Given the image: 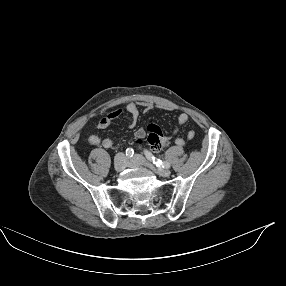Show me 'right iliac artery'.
Segmentation results:
<instances>
[{
	"label": "right iliac artery",
	"mask_w": 286,
	"mask_h": 286,
	"mask_svg": "<svg viewBox=\"0 0 286 286\" xmlns=\"http://www.w3.org/2000/svg\"><path fill=\"white\" fill-rule=\"evenodd\" d=\"M134 154V150L132 148H127L126 149V156L127 157H132Z\"/></svg>",
	"instance_id": "1"
}]
</instances>
